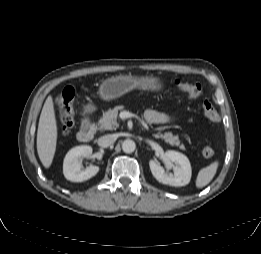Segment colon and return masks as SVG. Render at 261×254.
<instances>
[{
	"label": "colon",
	"instance_id": "5ec220e1",
	"mask_svg": "<svg viewBox=\"0 0 261 254\" xmlns=\"http://www.w3.org/2000/svg\"><path fill=\"white\" fill-rule=\"evenodd\" d=\"M175 86L178 90L186 93L191 99H199L202 95V88L199 83L183 82L181 80L175 81ZM74 89L66 87L62 90L55 101V108L57 111L58 126L62 134L67 135L71 132L74 124L73 113V99ZM204 116L211 122H219L220 114L214 106L207 100L201 103ZM215 154V150L211 146H206L202 150V155L205 158H211Z\"/></svg>",
	"mask_w": 261,
	"mask_h": 254
}]
</instances>
